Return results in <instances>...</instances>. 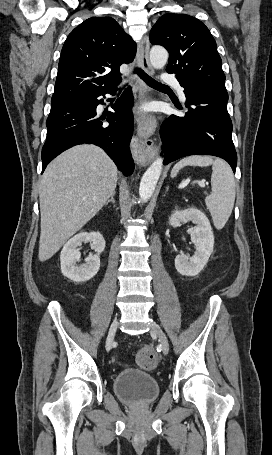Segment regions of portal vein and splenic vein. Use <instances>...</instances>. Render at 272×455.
<instances>
[{"label":"portal vein and splenic vein","mask_w":272,"mask_h":455,"mask_svg":"<svg viewBox=\"0 0 272 455\" xmlns=\"http://www.w3.org/2000/svg\"><path fill=\"white\" fill-rule=\"evenodd\" d=\"M195 183H197L200 187H205L204 181H199V180H197V181H194V182H193V184H195Z\"/></svg>","instance_id":"portal-vein-and-splenic-vein-1"}]
</instances>
